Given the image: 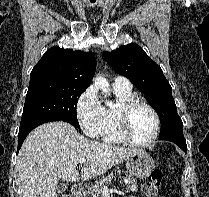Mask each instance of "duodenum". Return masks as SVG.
Returning <instances> with one entry per match:
<instances>
[{
	"label": "duodenum",
	"instance_id": "obj_1",
	"mask_svg": "<svg viewBox=\"0 0 209 197\" xmlns=\"http://www.w3.org/2000/svg\"><path fill=\"white\" fill-rule=\"evenodd\" d=\"M87 188L84 185L76 184L72 188V194L75 197H82L86 194Z\"/></svg>",
	"mask_w": 209,
	"mask_h": 197
}]
</instances>
